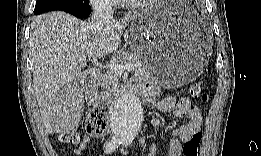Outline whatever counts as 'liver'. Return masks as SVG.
<instances>
[{"mask_svg":"<svg viewBox=\"0 0 261 156\" xmlns=\"http://www.w3.org/2000/svg\"><path fill=\"white\" fill-rule=\"evenodd\" d=\"M138 14L125 15L101 28L62 11L34 17L29 39V56L33 64L35 96L48 133L71 130L78 125L82 117V97L76 89L69 87L70 83L82 76L79 58L104 57L116 51L121 43L122 30ZM68 93L75 101L76 125H62L60 128L54 115Z\"/></svg>","mask_w":261,"mask_h":156,"instance_id":"liver-1","label":"liver"}]
</instances>
